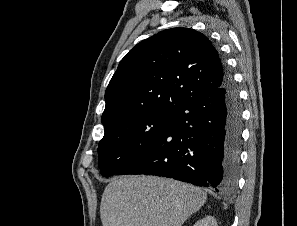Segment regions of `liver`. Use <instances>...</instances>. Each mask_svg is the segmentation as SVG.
Segmentation results:
<instances>
[{
  "mask_svg": "<svg viewBox=\"0 0 297 226\" xmlns=\"http://www.w3.org/2000/svg\"><path fill=\"white\" fill-rule=\"evenodd\" d=\"M199 187L157 176H124L105 188L103 226H181L206 202Z\"/></svg>",
  "mask_w": 297,
  "mask_h": 226,
  "instance_id": "6515ba94",
  "label": "liver"
}]
</instances>
